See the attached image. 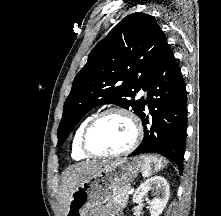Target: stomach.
Here are the masks:
<instances>
[{
    "mask_svg": "<svg viewBox=\"0 0 221 216\" xmlns=\"http://www.w3.org/2000/svg\"><path fill=\"white\" fill-rule=\"evenodd\" d=\"M139 166L127 159H118L90 175L70 195L65 216H87L96 207L111 202L117 190L132 182Z\"/></svg>",
    "mask_w": 221,
    "mask_h": 216,
    "instance_id": "1",
    "label": "stomach"
}]
</instances>
